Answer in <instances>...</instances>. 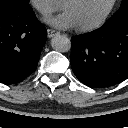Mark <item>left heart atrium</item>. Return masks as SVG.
I'll return each mask as SVG.
<instances>
[{"label": "left heart atrium", "instance_id": "1", "mask_svg": "<svg viewBox=\"0 0 128 128\" xmlns=\"http://www.w3.org/2000/svg\"><path fill=\"white\" fill-rule=\"evenodd\" d=\"M46 22L59 29H70L77 26L73 16L66 10L55 17L46 19Z\"/></svg>", "mask_w": 128, "mask_h": 128}]
</instances>
